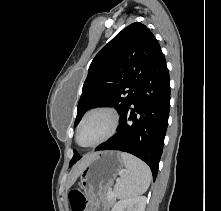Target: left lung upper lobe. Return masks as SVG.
<instances>
[{
  "mask_svg": "<svg viewBox=\"0 0 221 211\" xmlns=\"http://www.w3.org/2000/svg\"><path fill=\"white\" fill-rule=\"evenodd\" d=\"M160 52L153 33L139 22L117 34L90 64L74 126L87 110L101 104L114 106L122 117ZM79 159L74 150L69 166Z\"/></svg>",
  "mask_w": 221,
  "mask_h": 211,
  "instance_id": "5c2ea615",
  "label": "left lung upper lobe"
}]
</instances>
